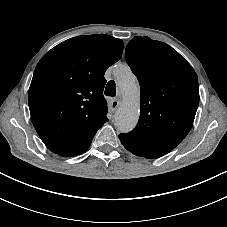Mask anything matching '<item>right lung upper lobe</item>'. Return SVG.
<instances>
[{
  "mask_svg": "<svg viewBox=\"0 0 227 227\" xmlns=\"http://www.w3.org/2000/svg\"><path fill=\"white\" fill-rule=\"evenodd\" d=\"M123 41L109 35L68 39L46 53L29 88L32 123L52 152L76 156L108 121L104 73L122 55Z\"/></svg>",
  "mask_w": 227,
  "mask_h": 227,
  "instance_id": "cb5924a9",
  "label": "right lung upper lobe"
}]
</instances>
